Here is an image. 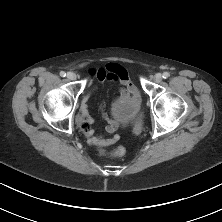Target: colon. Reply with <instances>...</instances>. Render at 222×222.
<instances>
[{"instance_id": "1", "label": "colon", "mask_w": 222, "mask_h": 222, "mask_svg": "<svg viewBox=\"0 0 222 222\" xmlns=\"http://www.w3.org/2000/svg\"><path fill=\"white\" fill-rule=\"evenodd\" d=\"M82 127L87 125V122L81 123ZM140 125V123H139ZM104 155L112 158H121L125 155V149L122 146H108L101 151Z\"/></svg>"}]
</instances>
